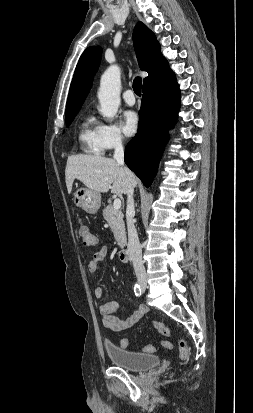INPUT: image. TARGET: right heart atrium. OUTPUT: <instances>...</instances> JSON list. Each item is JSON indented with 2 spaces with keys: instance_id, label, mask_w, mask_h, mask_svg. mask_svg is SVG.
<instances>
[{
  "instance_id": "d8ad5b80",
  "label": "right heart atrium",
  "mask_w": 253,
  "mask_h": 413,
  "mask_svg": "<svg viewBox=\"0 0 253 413\" xmlns=\"http://www.w3.org/2000/svg\"><path fill=\"white\" fill-rule=\"evenodd\" d=\"M98 140L102 151L121 148L125 143V137L113 123L98 124Z\"/></svg>"
}]
</instances>
